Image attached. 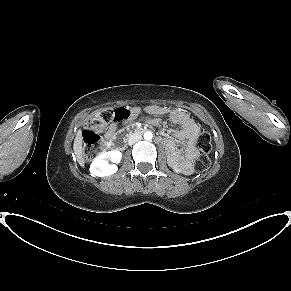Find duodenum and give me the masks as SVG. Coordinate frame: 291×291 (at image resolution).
Instances as JSON below:
<instances>
[{
  "label": "duodenum",
  "mask_w": 291,
  "mask_h": 291,
  "mask_svg": "<svg viewBox=\"0 0 291 291\" xmlns=\"http://www.w3.org/2000/svg\"><path fill=\"white\" fill-rule=\"evenodd\" d=\"M145 132V127L143 124H132L126 127L125 130L118 133V135L113 139V142L110 145L112 151L120 153L124 151L126 147V140L134 134L142 135ZM146 132H149V129H146ZM156 141H161V138L155 136Z\"/></svg>",
  "instance_id": "duodenum-1"
}]
</instances>
